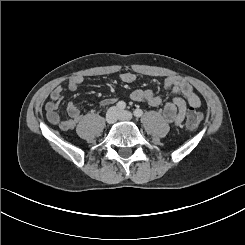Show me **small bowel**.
<instances>
[{
	"mask_svg": "<svg viewBox=\"0 0 245 245\" xmlns=\"http://www.w3.org/2000/svg\"><path fill=\"white\" fill-rule=\"evenodd\" d=\"M120 79L125 83H133L136 75L133 73H123ZM84 79L82 76H74L69 78L67 85L70 90H76ZM163 88L173 95L171 101L165 104L163 108V116L168 123L180 125L185 119L187 104L192 108L200 106V98L196 95L193 87L183 78L179 76H171L165 79ZM179 95H182L180 97ZM63 98V88L55 87L50 93V100L46 103V118L49 123L58 126L61 130L67 131L73 129L82 119V114L73 102L67 105V113L69 118L62 119L58 113L60 102ZM131 99L135 102L146 103L151 107H158L163 100L156 95L151 89H136L131 93ZM115 98H106L99 102L100 106L113 104Z\"/></svg>",
	"mask_w": 245,
	"mask_h": 245,
	"instance_id": "small-bowel-1",
	"label": "small bowel"
}]
</instances>
